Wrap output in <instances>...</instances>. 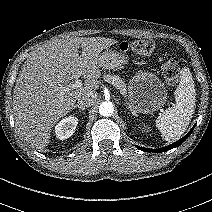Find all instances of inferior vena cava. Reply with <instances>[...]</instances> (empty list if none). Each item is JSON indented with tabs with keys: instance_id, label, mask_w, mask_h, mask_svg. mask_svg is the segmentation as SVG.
<instances>
[{
	"instance_id": "602c4592",
	"label": "inferior vena cava",
	"mask_w": 212,
	"mask_h": 212,
	"mask_svg": "<svg viewBox=\"0 0 212 212\" xmlns=\"http://www.w3.org/2000/svg\"><path fill=\"white\" fill-rule=\"evenodd\" d=\"M97 101V94L93 91L82 93L78 96V103L84 107H90Z\"/></svg>"
}]
</instances>
